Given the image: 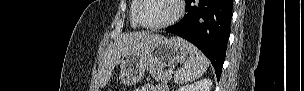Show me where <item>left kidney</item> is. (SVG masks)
Masks as SVG:
<instances>
[{
  "instance_id": "5707ae66",
  "label": "left kidney",
  "mask_w": 304,
  "mask_h": 91,
  "mask_svg": "<svg viewBox=\"0 0 304 91\" xmlns=\"http://www.w3.org/2000/svg\"><path fill=\"white\" fill-rule=\"evenodd\" d=\"M211 86L212 81L210 79H204L194 84L182 86L178 91H210Z\"/></svg>"
}]
</instances>
